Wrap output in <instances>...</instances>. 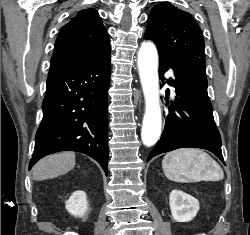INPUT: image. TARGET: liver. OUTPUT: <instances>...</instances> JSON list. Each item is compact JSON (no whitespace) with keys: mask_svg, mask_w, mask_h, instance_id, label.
Listing matches in <instances>:
<instances>
[{"mask_svg":"<svg viewBox=\"0 0 250 235\" xmlns=\"http://www.w3.org/2000/svg\"><path fill=\"white\" fill-rule=\"evenodd\" d=\"M75 166V154L73 152H61L47 156L37 162L33 167L34 180H45L66 174Z\"/></svg>","mask_w":250,"mask_h":235,"instance_id":"liver-1","label":"liver"}]
</instances>
